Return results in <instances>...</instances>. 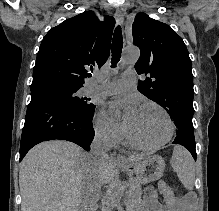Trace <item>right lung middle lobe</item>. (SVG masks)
<instances>
[{
	"label": "right lung middle lobe",
	"mask_w": 219,
	"mask_h": 211,
	"mask_svg": "<svg viewBox=\"0 0 219 211\" xmlns=\"http://www.w3.org/2000/svg\"><path fill=\"white\" fill-rule=\"evenodd\" d=\"M79 88L70 87L59 84L47 85L38 89L37 91L51 92L59 96L64 102H66L70 107L74 108L78 112L91 113L95 109V105L89 103L87 98H79L75 96Z\"/></svg>",
	"instance_id": "1"
}]
</instances>
